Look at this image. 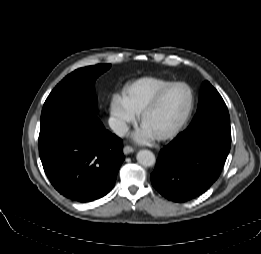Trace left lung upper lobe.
<instances>
[{"label":"left lung upper lobe","instance_id":"5c2ea615","mask_svg":"<svg viewBox=\"0 0 261 254\" xmlns=\"http://www.w3.org/2000/svg\"><path fill=\"white\" fill-rule=\"evenodd\" d=\"M210 126L230 127V117L220 94L208 81H205L201 87L197 113L184 132L195 134Z\"/></svg>","mask_w":261,"mask_h":254}]
</instances>
